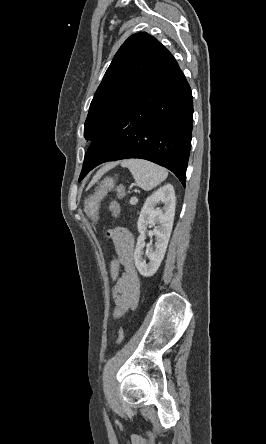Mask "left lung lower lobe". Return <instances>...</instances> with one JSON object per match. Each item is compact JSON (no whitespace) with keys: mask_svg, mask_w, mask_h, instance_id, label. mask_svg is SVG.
Here are the masks:
<instances>
[{"mask_svg":"<svg viewBox=\"0 0 266 444\" xmlns=\"http://www.w3.org/2000/svg\"><path fill=\"white\" fill-rule=\"evenodd\" d=\"M192 124L191 89L178 66L101 130L79 180L101 163L141 158L171 170L185 186Z\"/></svg>","mask_w":266,"mask_h":444,"instance_id":"0a47b994","label":"left lung lower lobe"}]
</instances>
